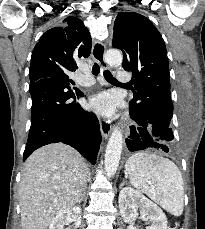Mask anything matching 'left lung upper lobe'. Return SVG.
<instances>
[{
    "instance_id": "5c2ea615",
    "label": "left lung upper lobe",
    "mask_w": 205,
    "mask_h": 229,
    "mask_svg": "<svg viewBox=\"0 0 205 229\" xmlns=\"http://www.w3.org/2000/svg\"><path fill=\"white\" fill-rule=\"evenodd\" d=\"M113 47L123 52L122 66L133 72L130 108L170 128L173 104L164 40L144 16L121 12L114 22Z\"/></svg>"
}]
</instances>
